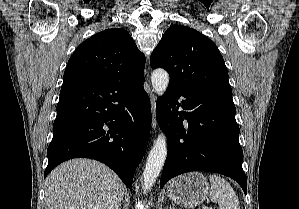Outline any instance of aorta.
I'll use <instances>...</instances> for the list:
<instances>
[{
	"instance_id": "obj_1",
	"label": "aorta",
	"mask_w": 299,
	"mask_h": 209,
	"mask_svg": "<svg viewBox=\"0 0 299 209\" xmlns=\"http://www.w3.org/2000/svg\"><path fill=\"white\" fill-rule=\"evenodd\" d=\"M154 91L162 95L168 86L169 75L164 69H156L151 75ZM167 157V140L163 133L158 135L151 151L149 152L145 169L143 172L144 192L150 190L159 176Z\"/></svg>"
}]
</instances>
